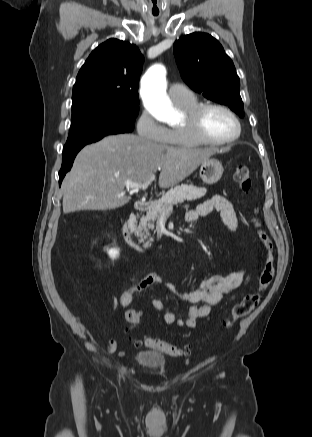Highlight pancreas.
I'll return each mask as SVG.
<instances>
[{
  "label": "pancreas",
  "mask_w": 312,
  "mask_h": 437,
  "mask_svg": "<svg viewBox=\"0 0 312 437\" xmlns=\"http://www.w3.org/2000/svg\"><path fill=\"white\" fill-rule=\"evenodd\" d=\"M206 193V188H199L193 185L182 184L171 188L163 195L156 203L152 204L145 216H142L137 229L138 237L141 241L148 238L149 229L154 228V222L158 217L169 207L178 203H183L184 200L193 201L203 197ZM153 241V239H150Z\"/></svg>",
  "instance_id": "1"
}]
</instances>
